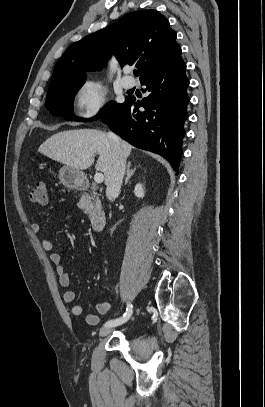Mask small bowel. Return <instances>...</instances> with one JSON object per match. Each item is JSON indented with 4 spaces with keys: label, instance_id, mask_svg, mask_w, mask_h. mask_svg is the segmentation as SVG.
<instances>
[{
    "label": "small bowel",
    "instance_id": "small-bowel-1",
    "mask_svg": "<svg viewBox=\"0 0 265 407\" xmlns=\"http://www.w3.org/2000/svg\"><path fill=\"white\" fill-rule=\"evenodd\" d=\"M31 229L34 233H39L42 229V226L39 222H33L31 225ZM42 249L45 252L49 253V257L51 262L55 265L56 272L59 278V283L62 287L66 288L63 294V300L65 303L72 304L71 306V314L74 316H80L83 312V308L80 304H76V291L71 289V277L66 267L62 263V257L59 253L53 251V244L48 238H43L41 240ZM111 308V303L109 301H102L96 305V309L98 314H106ZM98 314H88L86 316V322L88 325L95 326L99 323V315Z\"/></svg>",
    "mask_w": 265,
    "mask_h": 407
}]
</instances>
